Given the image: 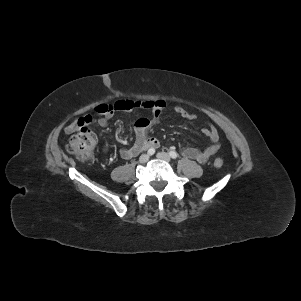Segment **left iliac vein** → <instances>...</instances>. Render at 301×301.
Instances as JSON below:
<instances>
[{
	"instance_id": "4c4485c4",
	"label": "left iliac vein",
	"mask_w": 301,
	"mask_h": 301,
	"mask_svg": "<svg viewBox=\"0 0 301 301\" xmlns=\"http://www.w3.org/2000/svg\"><path fill=\"white\" fill-rule=\"evenodd\" d=\"M156 156H157V158H159L161 160H164L166 162H170V156L165 152H159V153H157Z\"/></svg>"
}]
</instances>
